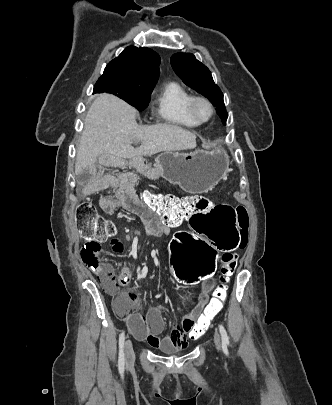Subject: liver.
<instances>
[{"mask_svg":"<svg viewBox=\"0 0 332 405\" xmlns=\"http://www.w3.org/2000/svg\"><path fill=\"white\" fill-rule=\"evenodd\" d=\"M136 110L111 94H100L87 111L77 149L75 173L80 174L97 160L118 166L123 159L152 156L163 151L194 149L196 136L174 124L138 126ZM141 141L134 148V141Z\"/></svg>","mask_w":332,"mask_h":405,"instance_id":"6515ba94","label":"liver"}]
</instances>
